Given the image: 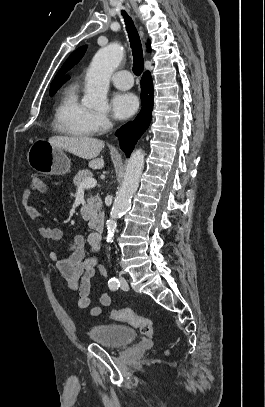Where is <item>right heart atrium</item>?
Instances as JSON below:
<instances>
[{"label":"right heart atrium","mask_w":265,"mask_h":407,"mask_svg":"<svg viewBox=\"0 0 265 407\" xmlns=\"http://www.w3.org/2000/svg\"><path fill=\"white\" fill-rule=\"evenodd\" d=\"M91 121L95 132H104L112 126L110 116L103 112H92Z\"/></svg>","instance_id":"d8ad5b80"}]
</instances>
